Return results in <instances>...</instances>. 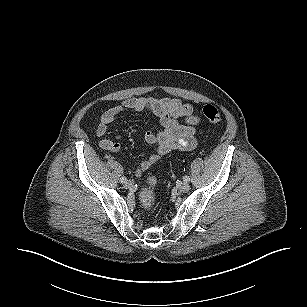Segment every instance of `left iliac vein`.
<instances>
[{"label": "left iliac vein", "instance_id": "left-iliac-vein-1", "mask_svg": "<svg viewBox=\"0 0 307 307\" xmlns=\"http://www.w3.org/2000/svg\"><path fill=\"white\" fill-rule=\"evenodd\" d=\"M177 188H178V190L181 191V192H187V191H189L190 186H189L188 183L183 182V183H179V184L177 185Z\"/></svg>", "mask_w": 307, "mask_h": 307}]
</instances>
